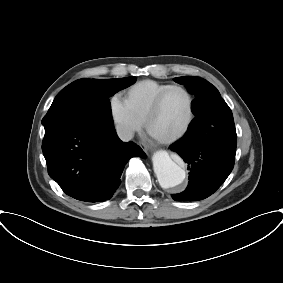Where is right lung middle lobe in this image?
<instances>
[{"instance_id":"1","label":"right lung middle lobe","mask_w":283,"mask_h":283,"mask_svg":"<svg viewBox=\"0 0 283 283\" xmlns=\"http://www.w3.org/2000/svg\"><path fill=\"white\" fill-rule=\"evenodd\" d=\"M135 77L80 79L66 86L42 119L44 128L62 122L113 125L109 97L130 86Z\"/></svg>"}]
</instances>
